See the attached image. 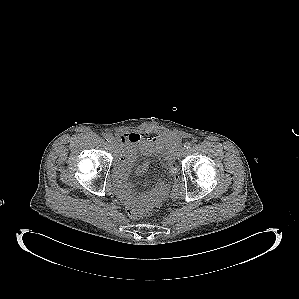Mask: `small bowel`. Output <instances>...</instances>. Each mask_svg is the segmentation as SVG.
Segmentation results:
<instances>
[{
  "label": "small bowel",
  "instance_id": "obj_1",
  "mask_svg": "<svg viewBox=\"0 0 299 299\" xmlns=\"http://www.w3.org/2000/svg\"><path fill=\"white\" fill-rule=\"evenodd\" d=\"M120 139L123 148L118 157V184L123 197L129 200L133 198V194L126 179L137 158L138 152L141 153L146 160L137 166L136 174L142 175L148 171L151 164L150 158L154 155H158L159 163L169 170L170 165L173 164L175 160L174 152L179 143V138L175 135L156 134L149 136L143 133L127 132L121 133ZM167 191L168 184L164 181H160L155 188L147 194L146 199L158 202L165 197Z\"/></svg>",
  "mask_w": 299,
  "mask_h": 299
}]
</instances>
